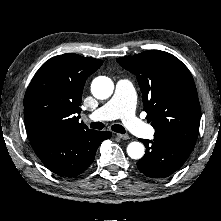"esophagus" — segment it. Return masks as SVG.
Wrapping results in <instances>:
<instances>
[{"label": "esophagus", "mask_w": 221, "mask_h": 221, "mask_svg": "<svg viewBox=\"0 0 221 221\" xmlns=\"http://www.w3.org/2000/svg\"><path fill=\"white\" fill-rule=\"evenodd\" d=\"M117 136L123 140H127L129 139V135L128 134H120L118 133Z\"/></svg>", "instance_id": "34e87169"}]
</instances>
